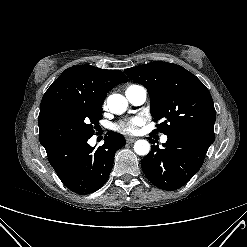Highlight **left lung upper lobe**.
Here are the masks:
<instances>
[{"label":"left lung upper lobe","mask_w":247,"mask_h":247,"mask_svg":"<svg viewBox=\"0 0 247 247\" xmlns=\"http://www.w3.org/2000/svg\"><path fill=\"white\" fill-rule=\"evenodd\" d=\"M150 95L151 115L161 121L153 133L186 134L212 144L216 112L210 92L191 72L168 62H152L124 70Z\"/></svg>","instance_id":"left-lung-upper-lobe-1"}]
</instances>
